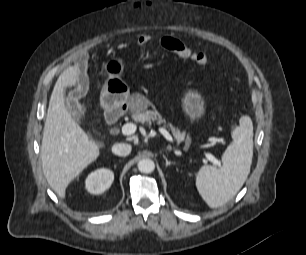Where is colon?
I'll return each instance as SVG.
<instances>
[{
	"instance_id": "obj_1",
	"label": "colon",
	"mask_w": 306,
	"mask_h": 255,
	"mask_svg": "<svg viewBox=\"0 0 306 255\" xmlns=\"http://www.w3.org/2000/svg\"><path fill=\"white\" fill-rule=\"evenodd\" d=\"M148 41L149 36L145 35L139 37L136 41V44L138 46H143ZM161 45L167 50H170L182 57L189 58L199 65H206L209 62V56L205 52L194 50L178 39L172 37H163L161 39Z\"/></svg>"
}]
</instances>
